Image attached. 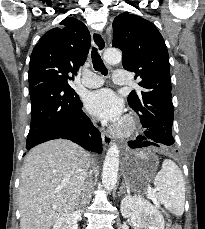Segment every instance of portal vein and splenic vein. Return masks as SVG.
I'll return each instance as SVG.
<instances>
[{"label": "portal vein and splenic vein", "mask_w": 205, "mask_h": 229, "mask_svg": "<svg viewBox=\"0 0 205 229\" xmlns=\"http://www.w3.org/2000/svg\"><path fill=\"white\" fill-rule=\"evenodd\" d=\"M153 201H154V203H155L156 205H159L158 202H157L155 199H153Z\"/></svg>", "instance_id": "18ae733b"}]
</instances>
